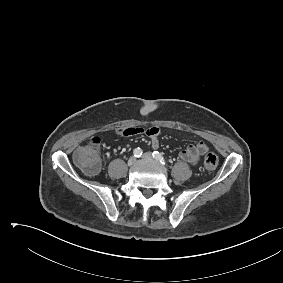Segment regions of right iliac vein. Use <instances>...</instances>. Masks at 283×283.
<instances>
[{
    "label": "right iliac vein",
    "instance_id": "obj_1",
    "mask_svg": "<svg viewBox=\"0 0 283 283\" xmlns=\"http://www.w3.org/2000/svg\"><path fill=\"white\" fill-rule=\"evenodd\" d=\"M136 160L137 159H136L135 156L130 157L129 160H128V165L132 166L133 164H135Z\"/></svg>",
    "mask_w": 283,
    "mask_h": 283
}]
</instances>
